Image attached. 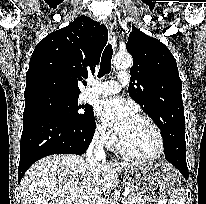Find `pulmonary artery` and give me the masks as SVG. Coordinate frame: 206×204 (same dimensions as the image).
<instances>
[{
  "label": "pulmonary artery",
  "mask_w": 206,
  "mask_h": 204,
  "mask_svg": "<svg viewBox=\"0 0 206 204\" xmlns=\"http://www.w3.org/2000/svg\"><path fill=\"white\" fill-rule=\"evenodd\" d=\"M129 82V75L126 72H120L118 75V81H105L95 83L92 82V87H90L85 93V99L105 97L111 94H115L121 90V88L127 85Z\"/></svg>",
  "instance_id": "e3ab8cb5"
}]
</instances>
